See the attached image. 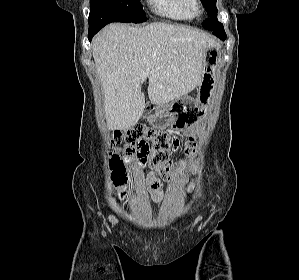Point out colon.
Returning a JSON list of instances; mask_svg holds the SVG:
<instances>
[{
	"label": "colon",
	"mask_w": 299,
	"mask_h": 280,
	"mask_svg": "<svg viewBox=\"0 0 299 280\" xmlns=\"http://www.w3.org/2000/svg\"><path fill=\"white\" fill-rule=\"evenodd\" d=\"M122 142L127 144L128 158L135 157L142 166L149 164L151 167L158 168L164 179L170 180L175 177L176 173L169 159L179 146V138L175 131L158 130L137 124L115 132L112 145ZM195 153L193 139L190 138L186 145V154L194 156ZM128 162L129 160H123L115 154L110 159L111 179L115 194L120 198L125 196V188L130 180Z\"/></svg>",
	"instance_id": "5ec220e1"
}]
</instances>
